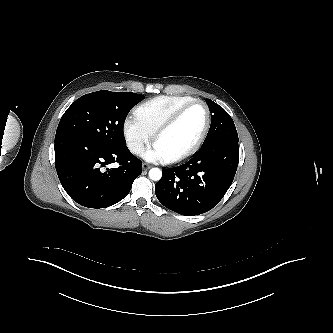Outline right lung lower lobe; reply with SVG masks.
Returning a JSON list of instances; mask_svg holds the SVG:
<instances>
[{
    "instance_id": "right-lung-lower-lobe-1",
    "label": "right lung lower lobe",
    "mask_w": 333,
    "mask_h": 333,
    "mask_svg": "<svg viewBox=\"0 0 333 333\" xmlns=\"http://www.w3.org/2000/svg\"><path fill=\"white\" fill-rule=\"evenodd\" d=\"M55 166L67 194L78 204L105 208L125 198L142 173L126 145L108 146L71 136L55 137ZM118 163L117 168H108Z\"/></svg>"
}]
</instances>
